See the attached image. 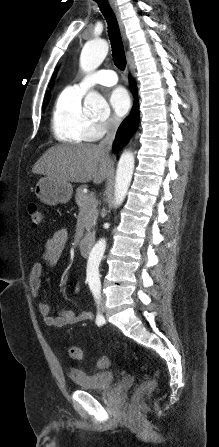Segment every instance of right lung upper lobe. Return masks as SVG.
Instances as JSON below:
<instances>
[{"label":"right lung upper lobe","mask_w":219,"mask_h":447,"mask_svg":"<svg viewBox=\"0 0 219 447\" xmlns=\"http://www.w3.org/2000/svg\"><path fill=\"white\" fill-rule=\"evenodd\" d=\"M48 98H49V93H47V95H46V97H45V100L48 99Z\"/></svg>","instance_id":"1"}]
</instances>
